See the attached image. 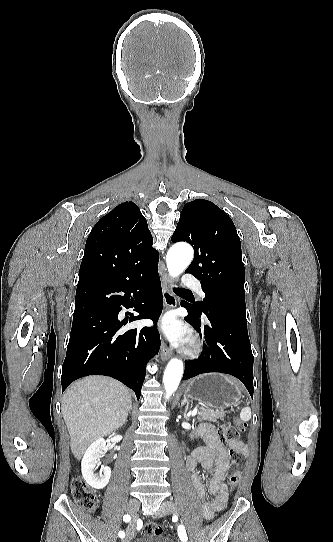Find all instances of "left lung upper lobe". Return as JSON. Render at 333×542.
I'll use <instances>...</instances> for the list:
<instances>
[{
    "instance_id": "1",
    "label": "left lung upper lobe",
    "mask_w": 333,
    "mask_h": 542,
    "mask_svg": "<svg viewBox=\"0 0 333 542\" xmlns=\"http://www.w3.org/2000/svg\"><path fill=\"white\" fill-rule=\"evenodd\" d=\"M178 241L193 246L194 259L185 272L201 280L205 293L203 301L192 303L197 319L206 320L220 305L246 309L241 242L231 218L208 200L189 202L172 236Z\"/></svg>"
}]
</instances>
